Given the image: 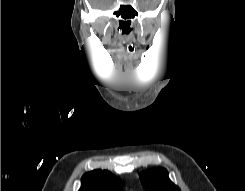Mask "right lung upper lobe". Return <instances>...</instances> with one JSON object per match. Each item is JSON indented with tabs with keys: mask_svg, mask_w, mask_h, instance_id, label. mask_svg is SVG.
<instances>
[{
	"mask_svg": "<svg viewBox=\"0 0 245 191\" xmlns=\"http://www.w3.org/2000/svg\"><path fill=\"white\" fill-rule=\"evenodd\" d=\"M79 191H121V181L107 170H94L82 177Z\"/></svg>",
	"mask_w": 245,
	"mask_h": 191,
	"instance_id": "right-lung-upper-lobe-1",
	"label": "right lung upper lobe"
}]
</instances>
